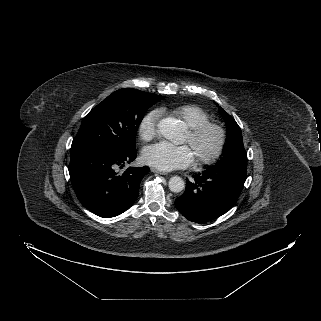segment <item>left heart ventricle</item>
Here are the masks:
<instances>
[{
	"mask_svg": "<svg viewBox=\"0 0 321 321\" xmlns=\"http://www.w3.org/2000/svg\"><path fill=\"white\" fill-rule=\"evenodd\" d=\"M184 142L189 144V138L187 133L185 134ZM216 142V133L210 131L202 138V140L195 147L191 146L190 144L189 145L193 151L194 156L196 157L197 154H209L214 149Z\"/></svg>",
	"mask_w": 321,
	"mask_h": 321,
	"instance_id": "obj_1",
	"label": "left heart ventricle"
}]
</instances>
